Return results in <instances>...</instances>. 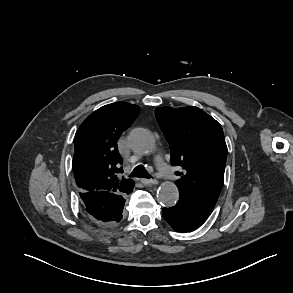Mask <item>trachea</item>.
Segmentation results:
<instances>
[{"instance_id": "3493384b", "label": "trachea", "mask_w": 293, "mask_h": 293, "mask_svg": "<svg viewBox=\"0 0 293 293\" xmlns=\"http://www.w3.org/2000/svg\"><path fill=\"white\" fill-rule=\"evenodd\" d=\"M130 177H142V178H150L149 174L147 173L146 169L143 165H138L134 168L132 173L130 174Z\"/></svg>"}]
</instances>
